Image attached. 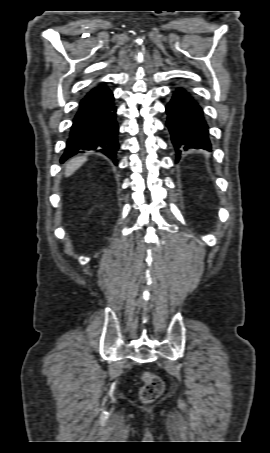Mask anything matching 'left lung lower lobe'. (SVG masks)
<instances>
[{"label":"left lung lower lobe","instance_id":"obj_1","mask_svg":"<svg viewBox=\"0 0 270 453\" xmlns=\"http://www.w3.org/2000/svg\"><path fill=\"white\" fill-rule=\"evenodd\" d=\"M166 112V125L178 159L183 150L191 148L211 151L204 112L190 92L183 88L176 89L166 106Z\"/></svg>","mask_w":270,"mask_h":453}]
</instances>
